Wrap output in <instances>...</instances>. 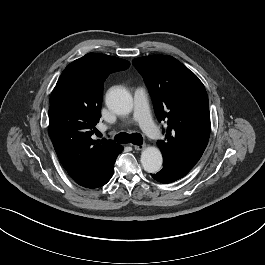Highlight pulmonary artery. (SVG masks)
Returning <instances> with one entry per match:
<instances>
[{
  "label": "pulmonary artery",
  "instance_id": "pulmonary-artery-1",
  "mask_svg": "<svg viewBox=\"0 0 265 265\" xmlns=\"http://www.w3.org/2000/svg\"><path fill=\"white\" fill-rule=\"evenodd\" d=\"M133 120L140 124L148 136L153 138L160 136V132L150 116L148 97L144 88H137L134 92Z\"/></svg>",
  "mask_w": 265,
  "mask_h": 265
}]
</instances>
